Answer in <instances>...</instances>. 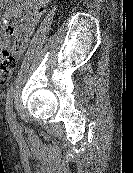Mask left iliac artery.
I'll use <instances>...</instances> for the list:
<instances>
[{"label": "left iliac artery", "mask_w": 133, "mask_h": 173, "mask_svg": "<svg viewBox=\"0 0 133 173\" xmlns=\"http://www.w3.org/2000/svg\"><path fill=\"white\" fill-rule=\"evenodd\" d=\"M13 94L14 88L11 86L6 96V113L11 124H15V117L13 114Z\"/></svg>", "instance_id": "obj_1"}]
</instances>
